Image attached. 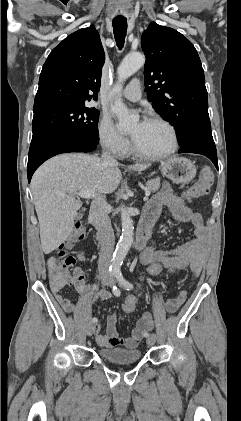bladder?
<instances>
[{"mask_svg":"<svg viewBox=\"0 0 241 421\" xmlns=\"http://www.w3.org/2000/svg\"><path fill=\"white\" fill-rule=\"evenodd\" d=\"M98 355L104 361L118 365L136 363L141 358V352L138 349L102 348L98 350Z\"/></svg>","mask_w":241,"mask_h":421,"instance_id":"1","label":"bladder"}]
</instances>
